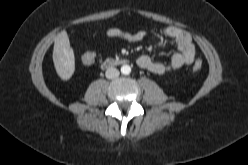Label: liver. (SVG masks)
Here are the masks:
<instances>
[{"label": "liver", "instance_id": "6515ba94", "mask_svg": "<svg viewBox=\"0 0 248 165\" xmlns=\"http://www.w3.org/2000/svg\"><path fill=\"white\" fill-rule=\"evenodd\" d=\"M53 62L62 80L71 78L75 71V57L65 30L61 31L54 40Z\"/></svg>", "mask_w": 248, "mask_h": 165}]
</instances>
